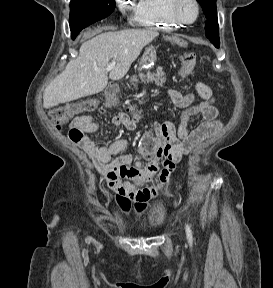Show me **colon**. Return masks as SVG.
<instances>
[{"label": "colon", "instance_id": "colon-1", "mask_svg": "<svg viewBox=\"0 0 273 288\" xmlns=\"http://www.w3.org/2000/svg\"><path fill=\"white\" fill-rule=\"evenodd\" d=\"M195 61L196 57L194 53H185L182 59L181 66V74L183 76L188 75L192 71L195 65ZM94 107L95 103L93 101H82L74 104H69L53 109L50 112V118L57 127H60L61 125H64L71 121L76 115L91 111L94 109ZM71 134L75 139H79L83 135L81 130L76 128L71 130Z\"/></svg>", "mask_w": 273, "mask_h": 288}]
</instances>
